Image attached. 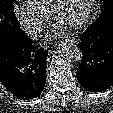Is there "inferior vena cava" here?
I'll return each instance as SVG.
<instances>
[{
  "label": "inferior vena cava",
  "mask_w": 113,
  "mask_h": 113,
  "mask_svg": "<svg viewBox=\"0 0 113 113\" xmlns=\"http://www.w3.org/2000/svg\"><path fill=\"white\" fill-rule=\"evenodd\" d=\"M41 32V26L38 24H34L30 29L28 30V34L31 36H37Z\"/></svg>",
  "instance_id": "1"
}]
</instances>
